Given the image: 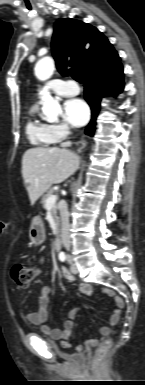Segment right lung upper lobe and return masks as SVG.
Returning a JSON list of instances; mask_svg holds the SVG:
<instances>
[{"mask_svg":"<svg viewBox=\"0 0 145 385\" xmlns=\"http://www.w3.org/2000/svg\"><path fill=\"white\" fill-rule=\"evenodd\" d=\"M52 49L60 72H65L69 64L80 71L83 78L110 69L120 61L101 32L89 24L69 18L55 22Z\"/></svg>","mask_w":145,"mask_h":385,"instance_id":"obj_1","label":"right lung upper lobe"}]
</instances>
